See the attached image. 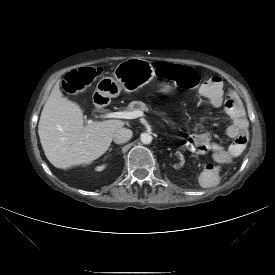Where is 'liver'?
Listing matches in <instances>:
<instances>
[{"instance_id": "1", "label": "liver", "mask_w": 275, "mask_h": 275, "mask_svg": "<svg viewBox=\"0 0 275 275\" xmlns=\"http://www.w3.org/2000/svg\"><path fill=\"white\" fill-rule=\"evenodd\" d=\"M58 80L40 116L38 134L46 158L60 169L90 164L109 148L121 120L94 121L84 125L83 110L64 97Z\"/></svg>"}]
</instances>
